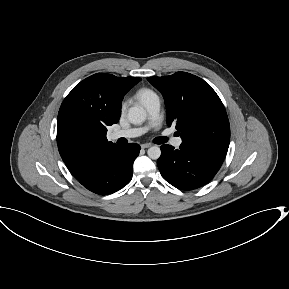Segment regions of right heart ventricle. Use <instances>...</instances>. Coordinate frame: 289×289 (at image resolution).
I'll return each instance as SVG.
<instances>
[{
  "instance_id": "obj_1",
  "label": "right heart ventricle",
  "mask_w": 289,
  "mask_h": 289,
  "mask_svg": "<svg viewBox=\"0 0 289 289\" xmlns=\"http://www.w3.org/2000/svg\"><path fill=\"white\" fill-rule=\"evenodd\" d=\"M157 97L154 91L148 88H142L137 91L136 98L144 105L146 106L147 103L152 100L153 98Z\"/></svg>"
}]
</instances>
